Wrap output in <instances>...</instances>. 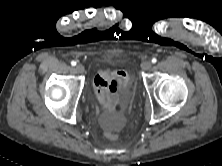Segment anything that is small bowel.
I'll return each instance as SVG.
<instances>
[{
	"label": "small bowel",
	"instance_id": "small-bowel-1",
	"mask_svg": "<svg viewBox=\"0 0 222 166\" xmlns=\"http://www.w3.org/2000/svg\"><path fill=\"white\" fill-rule=\"evenodd\" d=\"M92 85L101 106L111 110L119 102H125L131 78L124 70L103 69L98 71Z\"/></svg>",
	"mask_w": 222,
	"mask_h": 166
}]
</instances>
